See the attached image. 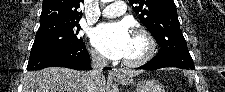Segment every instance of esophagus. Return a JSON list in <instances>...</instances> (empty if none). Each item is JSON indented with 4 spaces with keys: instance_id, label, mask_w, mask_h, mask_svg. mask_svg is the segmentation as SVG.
Instances as JSON below:
<instances>
[{
    "instance_id": "esophagus-1",
    "label": "esophagus",
    "mask_w": 225,
    "mask_h": 92,
    "mask_svg": "<svg viewBox=\"0 0 225 92\" xmlns=\"http://www.w3.org/2000/svg\"><path fill=\"white\" fill-rule=\"evenodd\" d=\"M110 74L120 76L121 72L117 68H112L111 71H110Z\"/></svg>"
}]
</instances>
